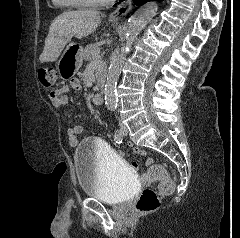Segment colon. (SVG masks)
<instances>
[{
	"label": "colon",
	"instance_id": "1",
	"mask_svg": "<svg viewBox=\"0 0 240 238\" xmlns=\"http://www.w3.org/2000/svg\"><path fill=\"white\" fill-rule=\"evenodd\" d=\"M56 72L49 67H41L38 70V79L45 88H51L56 82ZM151 181L158 182V191L146 188L138 198L135 209L140 214H146L156 210L160 206V196L170 195L174 190V181L169 176L166 169L161 165L151 166L148 171Z\"/></svg>",
	"mask_w": 240,
	"mask_h": 238
}]
</instances>
